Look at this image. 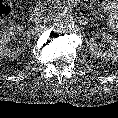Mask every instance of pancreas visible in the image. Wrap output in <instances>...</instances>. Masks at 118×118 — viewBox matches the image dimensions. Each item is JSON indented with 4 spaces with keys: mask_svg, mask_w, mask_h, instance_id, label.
Wrapping results in <instances>:
<instances>
[{
    "mask_svg": "<svg viewBox=\"0 0 118 118\" xmlns=\"http://www.w3.org/2000/svg\"><path fill=\"white\" fill-rule=\"evenodd\" d=\"M54 1H57V0H54ZM52 8V5H49L48 9H51Z\"/></svg>",
    "mask_w": 118,
    "mask_h": 118,
    "instance_id": "obj_1",
    "label": "pancreas"
}]
</instances>
